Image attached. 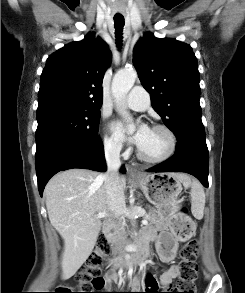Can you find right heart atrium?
I'll list each match as a JSON object with an SVG mask.
<instances>
[{
	"mask_svg": "<svg viewBox=\"0 0 245 293\" xmlns=\"http://www.w3.org/2000/svg\"><path fill=\"white\" fill-rule=\"evenodd\" d=\"M104 150L108 156L117 157L123 151L122 144L114 137L106 136L104 138Z\"/></svg>",
	"mask_w": 245,
	"mask_h": 293,
	"instance_id": "right-heart-atrium-1",
	"label": "right heart atrium"
}]
</instances>
